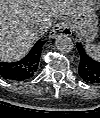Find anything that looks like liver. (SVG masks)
<instances>
[{
	"mask_svg": "<svg viewBox=\"0 0 100 118\" xmlns=\"http://www.w3.org/2000/svg\"><path fill=\"white\" fill-rule=\"evenodd\" d=\"M81 0H0V58H23L40 34L35 25L60 15L76 16Z\"/></svg>",
	"mask_w": 100,
	"mask_h": 118,
	"instance_id": "obj_1",
	"label": "liver"
}]
</instances>
